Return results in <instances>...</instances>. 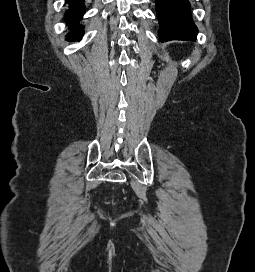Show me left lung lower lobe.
<instances>
[{
	"label": "left lung lower lobe",
	"mask_w": 255,
	"mask_h": 272,
	"mask_svg": "<svg viewBox=\"0 0 255 272\" xmlns=\"http://www.w3.org/2000/svg\"><path fill=\"white\" fill-rule=\"evenodd\" d=\"M161 41L194 40L197 35L188 0H155Z\"/></svg>",
	"instance_id": "obj_1"
}]
</instances>
